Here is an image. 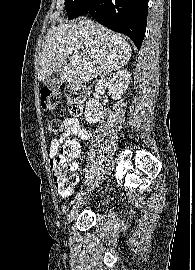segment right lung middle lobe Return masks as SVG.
<instances>
[{
    "label": "right lung middle lobe",
    "instance_id": "obj_1",
    "mask_svg": "<svg viewBox=\"0 0 195 270\" xmlns=\"http://www.w3.org/2000/svg\"><path fill=\"white\" fill-rule=\"evenodd\" d=\"M86 0H65V9L68 19L77 18L85 14L89 5L84 3Z\"/></svg>",
    "mask_w": 195,
    "mask_h": 270
}]
</instances>
